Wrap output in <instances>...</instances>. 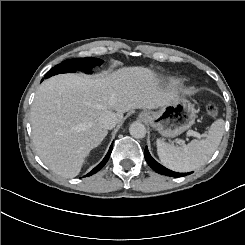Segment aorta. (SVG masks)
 Wrapping results in <instances>:
<instances>
[{
	"mask_svg": "<svg viewBox=\"0 0 245 245\" xmlns=\"http://www.w3.org/2000/svg\"><path fill=\"white\" fill-rule=\"evenodd\" d=\"M129 133L132 137L141 139L146 135V128L140 122H133L129 127Z\"/></svg>",
	"mask_w": 245,
	"mask_h": 245,
	"instance_id": "aorta-1",
	"label": "aorta"
}]
</instances>
